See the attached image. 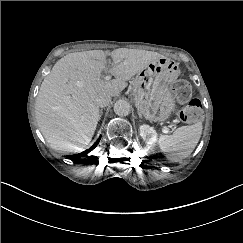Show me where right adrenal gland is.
I'll list each match as a JSON object with an SVG mask.
<instances>
[{
  "label": "right adrenal gland",
  "instance_id": "obj_1",
  "mask_svg": "<svg viewBox=\"0 0 243 243\" xmlns=\"http://www.w3.org/2000/svg\"><path fill=\"white\" fill-rule=\"evenodd\" d=\"M102 115V111H100V116Z\"/></svg>",
  "mask_w": 243,
  "mask_h": 243
}]
</instances>
